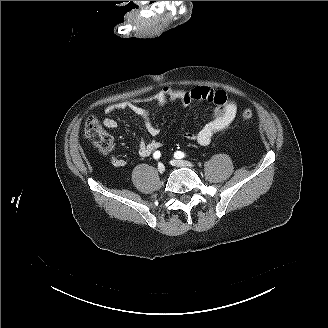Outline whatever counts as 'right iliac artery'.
<instances>
[{
    "instance_id": "1",
    "label": "right iliac artery",
    "mask_w": 328,
    "mask_h": 328,
    "mask_svg": "<svg viewBox=\"0 0 328 328\" xmlns=\"http://www.w3.org/2000/svg\"><path fill=\"white\" fill-rule=\"evenodd\" d=\"M160 152L159 151H156L154 154H153V157L155 158V159H158L159 157H160Z\"/></svg>"
}]
</instances>
